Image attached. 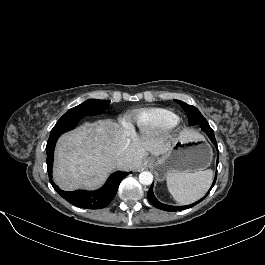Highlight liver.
Instances as JSON below:
<instances>
[{
  "instance_id": "obj_1",
  "label": "liver",
  "mask_w": 265,
  "mask_h": 265,
  "mask_svg": "<svg viewBox=\"0 0 265 265\" xmlns=\"http://www.w3.org/2000/svg\"><path fill=\"white\" fill-rule=\"evenodd\" d=\"M200 135L183 130L179 140ZM125 143L126 162L118 165L115 149ZM170 143L163 137L138 138L110 119L86 122L64 134L58 140L53 169V179L65 191L78 188L94 189L101 186L116 167L134 170L148 153L161 155L168 152Z\"/></svg>"
}]
</instances>
